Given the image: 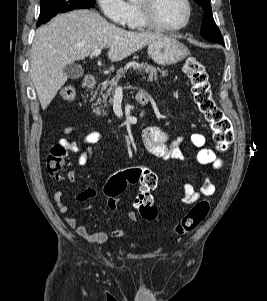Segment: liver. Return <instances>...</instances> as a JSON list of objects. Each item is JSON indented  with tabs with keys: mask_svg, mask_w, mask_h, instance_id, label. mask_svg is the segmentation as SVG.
Here are the masks:
<instances>
[{
	"mask_svg": "<svg viewBox=\"0 0 267 301\" xmlns=\"http://www.w3.org/2000/svg\"><path fill=\"white\" fill-rule=\"evenodd\" d=\"M160 33L130 32L107 22L99 13L75 10L57 15L35 34L30 75L45 110L67 81L63 68L94 50L109 47L108 58L120 61L157 39Z\"/></svg>",
	"mask_w": 267,
	"mask_h": 301,
	"instance_id": "6515ba94",
	"label": "liver"
}]
</instances>
